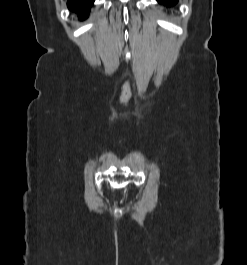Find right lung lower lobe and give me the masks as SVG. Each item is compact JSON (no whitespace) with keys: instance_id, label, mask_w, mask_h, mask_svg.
<instances>
[{"instance_id":"right-lung-lower-lobe-1","label":"right lung lower lobe","mask_w":247,"mask_h":265,"mask_svg":"<svg viewBox=\"0 0 247 265\" xmlns=\"http://www.w3.org/2000/svg\"><path fill=\"white\" fill-rule=\"evenodd\" d=\"M94 0H68V8L78 13L80 19H85Z\"/></svg>"}]
</instances>
